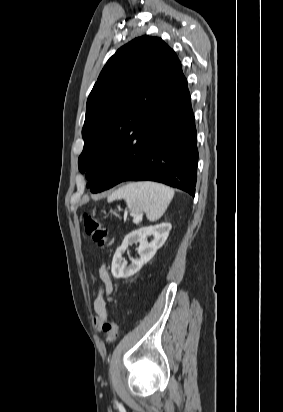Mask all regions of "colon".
<instances>
[{"instance_id": "colon-1", "label": "colon", "mask_w": 283, "mask_h": 412, "mask_svg": "<svg viewBox=\"0 0 283 412\" xmlns=\"http://www.w3.org/2000/svg\"><path fill=\"white\" fill-rule=\"evenodd\" d=\"M85 232L91 237L100 249L108 245L109 236L107 229L101 225L98 217L93 212L83 214ZM102 332L107 342H113L118 337V326L114 320L108 319L102 326Z\"/></svg>"}]
</instances>
